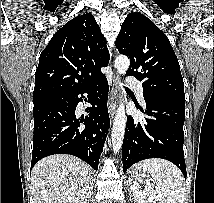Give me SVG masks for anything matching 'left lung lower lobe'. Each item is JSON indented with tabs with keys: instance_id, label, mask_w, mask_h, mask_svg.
Segmentation results:
<instances>
[{
	"instance_id": "obj_1",
	"label": "left lung lower lobe",
	"mask_w": 214,
	"mask_h": 203,
	"mask_svg": "<svg viewBox=\"0 0 214 203\" xmlns=\"http://www.w3.org/2000/svg\"><path fill=\"white\" fill-rule=\"evenodd\" d=\"M149 118L129 116L122 146L123 171L149 158L175 164L186 177L183 143L185 102L170 98L144 97Z\"/></svg>"
}]
</instances>
